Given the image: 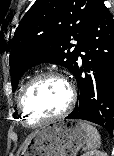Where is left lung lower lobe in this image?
Masks as SVG:
<instances>
[{
    "instance_id": "obj_1",
    "label": "left lung lower lobe",
    "mask_w": 114,
    "mask_h": 156,
    "mask_svg": "<svg viewBox=\"0 0 114 156\" xmlns=\"http://www.w3.org/2000/svg\"><path fill=\"white\" fill-rule=\"evenodd\" d=\"M83 52V54H81ZM74 71L78 84V103L68 119H83L114 128V20L99 1L79 48ZM85 75L82 76V72Z\"/></svg>"
}]
</instances>
